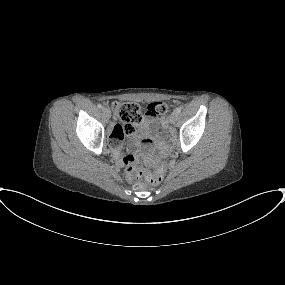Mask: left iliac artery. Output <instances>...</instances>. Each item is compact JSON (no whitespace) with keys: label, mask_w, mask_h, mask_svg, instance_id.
<instances>
[{"label":"left iliac artery","mask_w":285,"mask_h":285,"mask_svg":"<svg viewBox=\"0 0 285 285\" xmlns=\"http://www.w3.org/2000/svg\"><path fill=\"white\" fill-rule=\"evenodd\" d=\"M181 110H182V107H177V108L175 109V112H176L177 114H179V113L181 112Z\"/></svg>","instance_id":"left-iliac-artery-1"}]
</instances>
